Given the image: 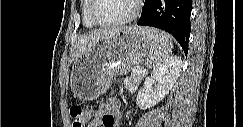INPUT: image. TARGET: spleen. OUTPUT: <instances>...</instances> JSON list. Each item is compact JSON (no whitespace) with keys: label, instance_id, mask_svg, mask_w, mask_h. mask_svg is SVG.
I'll list each match as a JSON object with an SVG mask.
<instances>
[{"label":"spleen","instance_id":"1","mask_svg":"<svg viewBox=\"0 0 243 127\" xmlns=\"http://www.w3.org/2000/svg\"><path fill=\"white\" fill-rule=\"evenodd\" d=\"M146 35L152 42V51L147 58V65L155 70L169 59L172 51V41L168 34L154 29H149Z\"/></svg>","mask_w":243,"mask_h":127}]
</instances>
